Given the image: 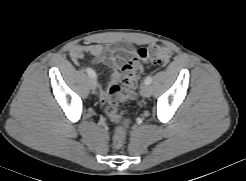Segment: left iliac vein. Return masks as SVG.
<instances>
[{
	"label": "left iliac vein",
	"instance_id": "4c4485c4",
	"mask_svg": "<svg viewBox=\"0 0 246 181\" xmlns=\"http://www.w3.org/2000/svg\"><path fill=\"white\" fill-rule=\"evenodd\" d=\"M140 93L143 97H149L152 93V90L149 84H143L141 86Z\"/></svg>",
	"mask_w": 246,
	"mask_h": 181
}]
</instances>
